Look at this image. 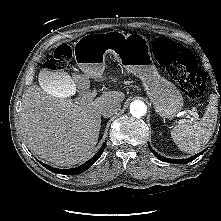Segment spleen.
I'll list each match as a JSON object with an SVG mask.
<instances>
[{"mask_svg": "<svg viewBox=\"0 0 221 221\" xmlns=\"http://www.w3.org/2000/svg\"><path fill=\"white\" fill-rule=\"evenodd\" d=\"M217 118V102L212 99L200 121L175 125L171 137L180 150L196 153L209 142L217 125Z\"/></svg>", "mask_w": 221, "mask_h": 221, "instance_id": "obj_1", "label": "spleen"}]
</instances>
